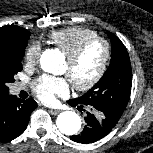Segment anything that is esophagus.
Wrapping results in <instances>:
<instances>
[{
  "label": "esophagus",
  "mask_w": 153,
  "mask_h": 153,
  "mask_svg": "<svg viewBox=\"0 0 153 153\" xmlns=\"http://www.w3.org/2000/svg\"><path fill=\"white\" fill-rule=\"evenodd\" d=\"M49 112L52 114V115H57L60 113V110H57V109H50Z\"/></svg>",
  "instance_id": "1"
}]
</instances>
